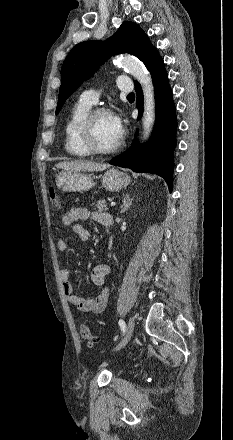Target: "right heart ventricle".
I'll list each match as a JSON object with an SVG mask.
<instances>
[{"mask_svg": "<svg viewBox=\"0 0 233 440\" xmlns=\"http://www.w3.org/2000/svg\"><path fill=\"white\" fill-rule=\"evenodd\" d=\"M91 110V105L81 102L80 100L72 107L68 119L65 124V151L78 158H85L90 153L84 148L79 138V128L82 120Z\"/></svg>", "mask_w": 233, "mask_h": 440, "instance_id": "right-heart-ventricle-1", "label": "right heart ventricle"}]
</instances>
